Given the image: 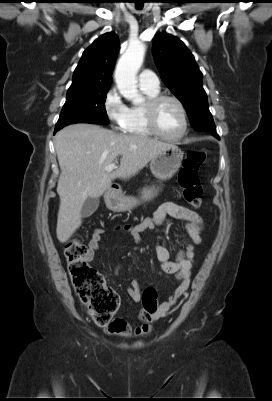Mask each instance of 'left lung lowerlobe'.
<instances>
[{
	"instance_id": "obj_1",
	"label": "left lung lower lobe",
	"mask_w": 272,
	"mask_h": 401,
	"mask_svg": "<svg viewBox=\"0 0 272 401\" xmlns=\"http://www.w3.org/2000/svg\"><path fill=\"white\" fill-rule=\"evenodd\" d=\"M216 138H218L219 139V136L216 134V132H214V134H213Z\"/></svg>"
}]
</instances>
